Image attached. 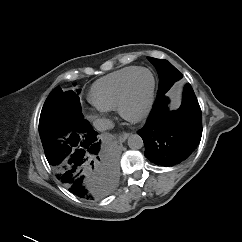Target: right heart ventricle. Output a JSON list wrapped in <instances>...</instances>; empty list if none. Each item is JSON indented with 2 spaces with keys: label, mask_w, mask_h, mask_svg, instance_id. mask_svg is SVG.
<instances>
[{
  "label": "right heart ventricle",
  "mask_w": 242,
  "mask_h": 242,
  "mask_svg": "<svg viewBox=\"0 0 242 242\" xmlns=\"http://www.w3.org/2000/svg\"><path fill=\"white\" fill-rule=\"evenodd\" d=\"M136 69L137 66L124 67L98 79L90 88L89 100L98 109H116L124 85Z\"/></svg>",
  "instance_id": "1"
}]
</instances>
